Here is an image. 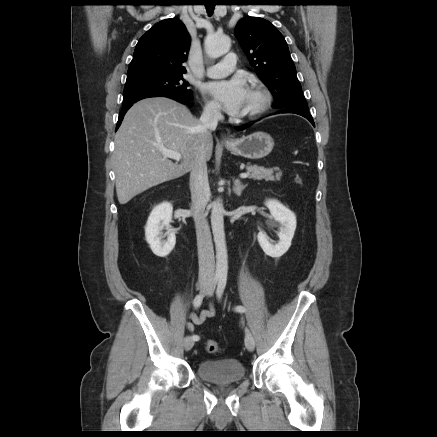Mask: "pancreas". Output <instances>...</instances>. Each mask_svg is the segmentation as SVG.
I'll return each instance as SVG.
<instances>
[{"label":"pancreas","instance_id":"1","mask_svg":"<svg viewBox=\"0 0 437 437\" xmlns=\"http://www.w3.org/2000/svg\"><path fill=\"white\" fill-rule=\"evenodd\" d=\"M246 169L250 175L249 178L254 180L280 181L282 176V172L278 167L266 169L262 166L248 164ZM274 171H276L275 175Z\"/></svg>","mask_w":437,"mask_h":437}]
</instances>
